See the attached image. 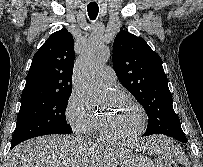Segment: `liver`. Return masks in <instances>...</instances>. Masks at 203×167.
I'll return each instance as SVG.
<instances>
[{
    "label": "liver",
    "instance_id": "6515ba94",
    "mask_svg": "<svg viewBox=\"0 0 203 167\" xmlns=\"http://www.w3.org/2000/svg\"><path fill=\"white\" fill-rule=\"evenodd\" d=\"M129 156L120 147L48 135L16 146L10 151L5 167H117Z\"/></svg>",
    "mask_w": 203,
    "mask_h": 167
}]
</instances>
